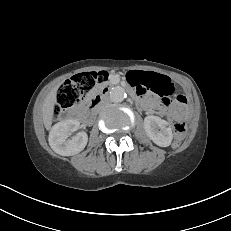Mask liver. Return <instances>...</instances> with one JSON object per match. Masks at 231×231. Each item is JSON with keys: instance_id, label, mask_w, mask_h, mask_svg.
Wrapping results in <instances>:
<instances>
[{"instance_id": "obj_1", "label": "liver", "mask_w": 231, "mask_h": 231, "mask_svg": "<svg viewBox=\"0 0 231 231\" xmlns=\"http://www.w3.org/2000/svg\"><path fill=\"white\" fill-rule=\"evenodd\" d=\"M59 85L54 87L46 96L42 106L43 123L47 130L51 128L54 114V105L56 104V96Z\"/></svg>"}]
</instances>
